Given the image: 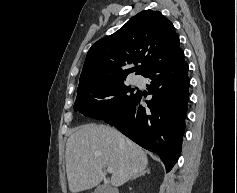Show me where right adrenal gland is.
Returning a JSON list of instances; mask_svg holds the SVG:
<instances>
[{
	"label": "right adrenal gland",
	"mask_w": 237,
	"mask_h": 193,
	"mask_svg": "<svg viewBox=\"0 0 237 193\" xmlns=\"http://www.w3.org/2000/svg\"><path fill=\"white\" fill-rule=\"evenodd\" d=\"M145 173H149V170L148 169H146L145 171H143V172H139V173H137V174H135L134 176H132L130 179L132 180V179H135V178H137V177H139V176H142V175H145Z\"/></svg>",
	"instance_id": "1"
}]
</instances>
